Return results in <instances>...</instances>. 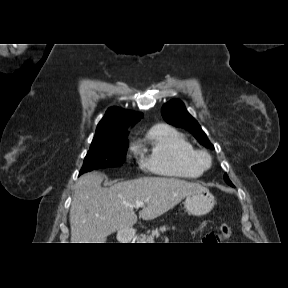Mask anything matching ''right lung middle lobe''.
Wrapping results in <instances>:
<instances>
[{"label": "right lung middle lobe", "instance_id": "right-lung-middle-lobe-1", "mask_svg": "<svg viewBox=\"0 0 288 288\" xmlns=\"http://www.w3.org/2000/svg\"><path fill=\"white\" fill-rule=\"evenodd\" d=\"M127 134L93 140L80 174L98 168L117 167L125 162Z\"/></svg>", "mask_w": 288, "mask_h": 288}]
</instances>
